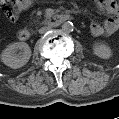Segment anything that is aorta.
<instances>
[{
  "label": "aorta",
  "mask_w": 119,
  "mask_h": 119,
  "mask_svg": "<svg viewBox=\"0 0 119 119\" xmlns=\"http://www.w3.org/2000/svg\"><path fill=\"white\" fill-rule=\"evenodd\" d=\"M73 28H74L73 23L70 22V21L64 22V23L62 24V30H63L65 33H70V32H72V31H73Z\"/></svg>",
  "instance_id": "aorta-1"
}]
</instances>
